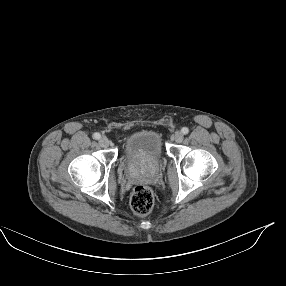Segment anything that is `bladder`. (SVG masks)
<instances>
[{"label":"bladder","instance_id":"31cf9c89","mask_svg":"<svg viewBox=\"0 0 286 286\" xmlns=\"http://www.w3.org/2000/svg\"><path fill=\"white\" fill-rule=\"evenodd\" d=\"M165 156L161 134L152 129L133 133L122 149V159L130 164H157Z\"/></svg>","mask_w":286,"mask_h":286}]
</instances>
